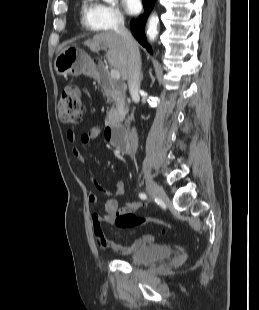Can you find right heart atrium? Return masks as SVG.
I'll return each mask as SVG.
<instances>
[{
    "mask_svg": "<svg viewBox=\"0 0 259 310\" xmlns=\"http://www.w3.org/2000/svg\"><path fill=\"white\" fill-rule=\"evenodd\" d=\"M92 17L100 29L116 30L122 27L125 17L120 9L111 4L95 1L92 7Z\"/></svg>",
    "mask_w": 259,
    "mask_h": 310,
    "instance_id": "right-heart-atrium-1",
    "label": "right heart atrium"
}]
</instances>
